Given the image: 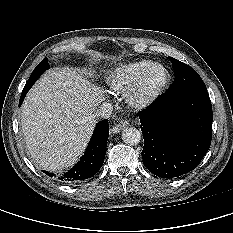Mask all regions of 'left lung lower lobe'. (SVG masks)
<instances>
[{"label":"left lung lower lobe","mask_w":233,"mask_h":233,"mask_svg":"<svg viewBox=\"0 0 233 233\" xmlns=\"http://www.w3.org/2000/svg\"><path fill=\"white\" fill-rule=\"evenodd\" d=\"M144 138L143 164L161 178L196 168L212 138V106L207 90L165 92L138 113Z\"/></svg>","instance_id":"obj_1"}]
</instances>
